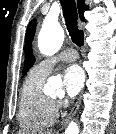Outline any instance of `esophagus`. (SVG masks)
Masks as SVG:
<instances>
[{
  "label": "esophagus",
  "instance_id": "1",
  "mask_svg": "<svg viewBox=\"0 0 116 134\" xmlns=\"http://www.w3.org/2000/svg\"><path fill=\"white\" fill-rule=\"evenodd\" d=\"M81 97L80 96L77 100V102L75 103L74 107L72 108V110L70 111V113L67 115V117L63 120L62 122V127L66 126L68 124V122L70 121V119L76 114L77 110L79 109L80 103H81Z\"/></svg>",
  "mask_w": 116,
  "mask_h": 134
}]
</instances>
